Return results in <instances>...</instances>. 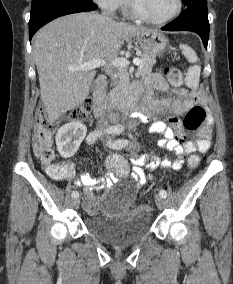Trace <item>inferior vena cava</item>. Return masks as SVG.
<instances>
[{
    "mask_svg": "<svg viewBox=\"0 0 233 284\" xmlns=\"http://www.w3.org/2000/svg\"><path fill=\"white\" fill-rule=\"evenodd\" d=\"M103 16L106 17V18H108L105 12L103 13ZM108 125H109L108 120H107L104 116L101 117V118L98 120V122H97V127H98L99 129H104V128L107 127Z\"/></svg>",
    "mask_w": 233,
    "mask_h": 284,
    "instance_id": "obj_1",
    "label": "inferior vena cava"
}]
</instances>
